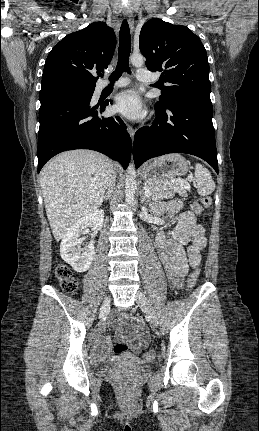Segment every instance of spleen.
Masks as SVG:
<instances>
[{"label": "spleen", "mask_w": 259, "mask_h": 431, "mask_svg": "<svg viewBox=\"0 0 259 431\" xmlns=\"http://www.w3.org/2000/svg\"><path fill=\"white\" fill-rule=\"evenodd\" d=\"M195 180L197 182V193L200 196L210 195L215 190V183L209 170L200 163L195 164Z\"/></svg>", "instance_id": "obj_1"}]
</instances>
